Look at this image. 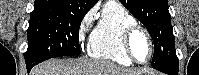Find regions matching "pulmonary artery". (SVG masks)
Returning <instances> with one entry per match:
<instances>
[{
	"instance_id": "e3ab8cb5",
	"label": "pulmonary artery",
	"mask_w": 199,
	"mask_h": 75,
	"mask_svg": "<svg viewBox=\"0 0 199 75\" xmlns=\"http://www.w3.org/2000/svg\"><path fill=\"white\" fill-rule=\"evenodd\" d=\"M114 3L113 1H109L106 5Z\"/></svg>"
}]
</instances>
